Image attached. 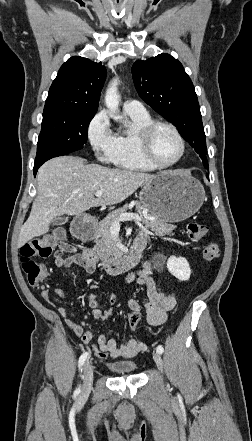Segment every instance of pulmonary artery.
I'll return each instance as SVG.
<instances>
[{"label": "pulmonary artery", "instance_id": "1", "mask_svg": "<svg viewBox=\"0 0 252 441\" xmlns=\"http://www.w3.org/2000/svg\"><path fill=\"white\" fill-rule=\"evenodd\" d=\"M123 109L129 114H146L144 105L137 100H127L123 103Z\"/></svg>", "mask_w": 252, "mask_h": 441}]
</instances>
